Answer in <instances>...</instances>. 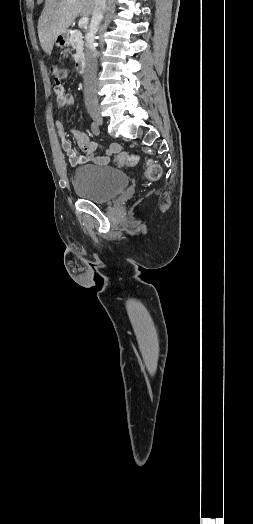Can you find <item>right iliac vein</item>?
Returning a JSON list of instances; mask_svg holds the SVG:
<instances>
[{
	"label": "right iliac vein",
	"mask_w": 253,
	"mask_h": 524,
	"mask_svg": "<svg viewBox=\"0 0 253 524\" xmlns=\"http://www.w3.org/2000/svg\"><path fill=\"white\" fill-rule=\"evenodd\" d=\"M89 113L92 117V119L99 125L103 123V118L97 108H91L89 109Z\"/></svg>",
	"instance_id": "right-iliac-vein-1"
}]
</instances>
